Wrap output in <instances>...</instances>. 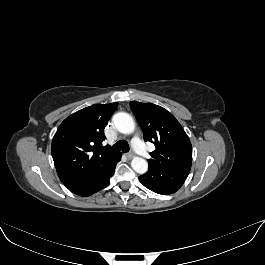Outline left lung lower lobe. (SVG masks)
Here are the masks:
<instances>
[{"mask_svg":"<svg viewBox=\"0 0 265 265\" xmlns=\"http://www.w3.org/2000/svg\"><path fill=\"white\" fill-rule=\"evenodd\" d=\"M190 170L152 169L139 176V181L148 189L162 195L176 192L185 182Z\"/></svg>","mask_w":265,"mask_h":265,"instance_id":"0a47b994","label":"left lung lower lobe"}]
</instances>
